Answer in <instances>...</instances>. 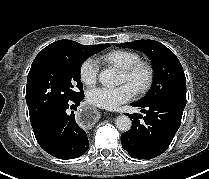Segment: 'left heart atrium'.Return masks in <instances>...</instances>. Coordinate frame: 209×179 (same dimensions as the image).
Wrapping results in <instances>:
<instances>
[{
  "label": "left heart atrium",
  "mask_w": 209,
  "mask_h": 179,
  "mask_svg": "<svg viewBox=\"0 0 209 179\" xmlns=\"http://www.w3.org/2000/svg\"><path fill=\"white\" fill-rule=\"evenodd\" d=\"M135 89L129 83L118 87H99L88 92V101L98 107L114 110L129 101L135 95Z\"/></svg>",
  "instance_id": "39dd6f15"
}]
</instances>
